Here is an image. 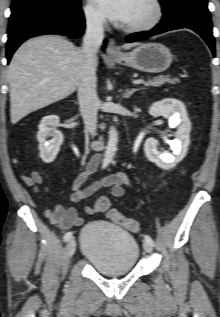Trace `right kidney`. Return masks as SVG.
Here are the masks:
<instances>
[{
  "mask_svg": "<svg viewBox=\"0 0 220 317\" xmlns=\"http://www.w3.org/2000/svg\"><path fill=\"white\" fill-rule=\"evenodd\" d=\"M59 126V117L49 115L42 118L39 124L37 140L39 142L40 157L45 163H51L56 158L63 143V134L56 128ZM52 137L51 140H47Z\"/></svg>",
  "mask_w": 220,
  "mask_h": 317,
  "instance_id": "ca27d5eb",
  "label": "right kidney"
}]
</instances>
